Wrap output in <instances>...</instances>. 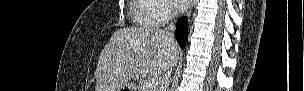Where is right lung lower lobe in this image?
Here are the masks:
<instances>
[{"instance_id":"obj_1","label":"right lung lower lobe","mask_w":304,"mask_h":91,"mask_svg":"<svg viewBox=\"0 0 304 91\" xmlns=\"http://www.w3.org/2000/svg\"><path fill=\"white\" fill-rule=\"evenodd\" d=\"M188 37V21L186 17L181 18L177 22L176 39L181 48L184 49Z\"/></svg>"}]
</instances>
